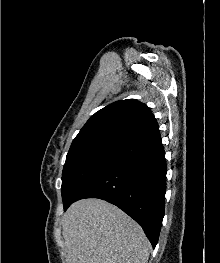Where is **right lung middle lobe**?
I'll return each instance as SVG.
<instances>
[{"instance_id": "right-lung-middle-lobe-1", "label": "right lung middle lobe", "mask_w": 220, "mask_h": 263, "mask_svg": "<svg viewBox=\"0 0 220 263\" xmlns=\"http://www.w3.org/2000/svg\"><path fill=\"white\" fill-rule=\"evenodd\" d=\"M120 152L109 148L68 152L62 173L61 192L64 207L70 204L78 192Z\"/></svg>"}]
</instances>
